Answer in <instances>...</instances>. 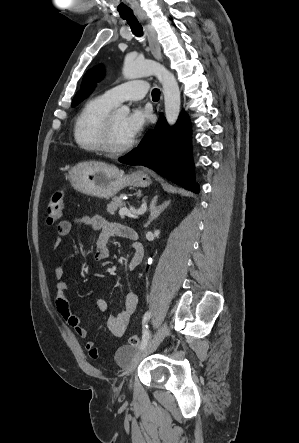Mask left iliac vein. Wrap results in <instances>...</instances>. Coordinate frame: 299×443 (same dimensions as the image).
Here are the masks:
<instances>
[{"mask_svg":"<svg viewBox=\"0 0 299 443\" xmlns=\"http://www.w3.org/2000/svg\"><path fill=\"white\" fill-rule=\"evenodd\" d=\"M167 331H168V325L165 322L155 333L153 338L147 343V345L134 355L128 367V372L131 375V377L133 376V373L135 372L138 364L142 361L143 358H145L147 355H149L156 349V347L159 345V343L166 335ZM131 385H132V378L130 379V386Z\"/></svg>","mask_w":299,"mask_h":443,"instance_id":"left-iliac-vein-1","label":"left iliac vein"}]
</instances>
